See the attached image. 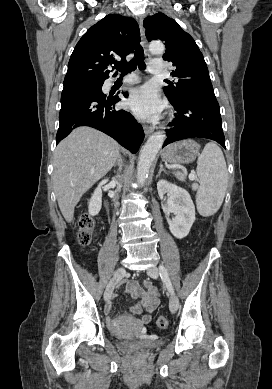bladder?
<instances>
[{"label": "bladder", "instance_id": "obj_1", "mask_svg": "<svg viewBox=\"0 0 272 389\" xmlns=\"http://www.w3.org/2000/svg\"><path fill=\"white\" fill-rule=\"evenodd\" d=\"M109 333L112 337L116 339V343L119 346V348L128 352L150 350L163 344L162 340L135 341L131 339H117L118 334L116 332L110 331Z\"/></svg>", "mask_w": 272, "mask_h": 389}]
</instances>
